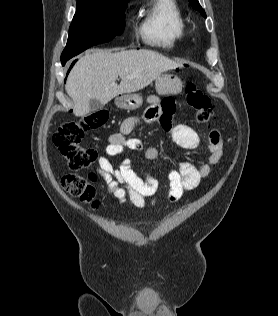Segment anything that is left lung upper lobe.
<instances>
[{"instance_id":"left-lung-upper-lobe-1","label":"left lung upper lobe","mask_w":278,"mask_h":316,"mask_svg":"<svg viewBox=\"0 0 278 316\" xmlns=\"http://www.w3.org/2000/svg\"><path fill=\"white\" fill-rule=\"evenodd\" d=\"M189 2H190V4H191V6H192L195 10L199 11V12L201 13V15L206 18V13H205V11L202 9V7L200 6L198 0H189Z\"/></svg>"}]
</instances>
